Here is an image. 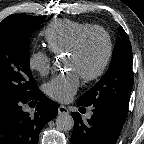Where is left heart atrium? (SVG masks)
Masks as SVG:
<instances>
[{"instance_id": "obj_1", "label": "left heart atrium", "mask_w": 144, "mask_h": 144, "mask_svg": "<svg viewBox=\"0 0 144 144\" xmlns=\"http://www.w3.org/2000/svg\"><path fill=\"white\" fill-rule=\"evenodd\" d=\"M80 85V74L71 69L68 72L59 74L52 78L45 85V91L51 98L60 101L68 102L77 92Z\"/></svg>"}]
</instances>
